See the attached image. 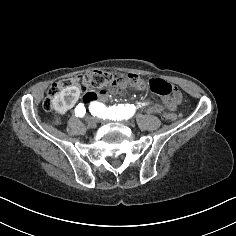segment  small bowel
<instances>
[{
	"instance_id": "obj_1",
	"label": "small bowel",
	"mask_w": 236,
	"mask_h": 236,
	"mask_svg": "<svg viewBox=\"0 0 236 236\" xmlns=\"http://www.w3.org/2000/svg\"><path fill=\"white\" fill-rule=\"evenodd\" d=\"M178 99L170 98L166 100L163 104L156 103L153 101L147 102V111L150 113H160L163 110H174L177 106Z\"/></svg>"
}]
</instances>
